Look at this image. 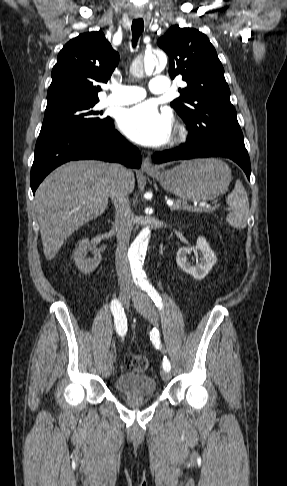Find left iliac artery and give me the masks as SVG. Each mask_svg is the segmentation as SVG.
Returning <instances> with one entry per match:
<instances>
[{"label":"left iliac artery","instance_id":"obj_1","mask_svg":"<svg viewBox=\"0 0 287 486\" xmlns=\"http://www.w3.org/2000/svg\"><path fill=\"white\" fill-rule=\"evenodd\" d=\"M144 290L148 293V295L154 301L156 307L159 308V310H161L163 308L162 299H161L159 293L155 290V288L148 285L144 288ZM150 339L152 340V343L154 344V346L157 349H159L160 348L159 331L156 328L152 330L151 335H150ZM162 366H163V369L165 371H170L171 364H170L169 360L167 359V357H164Z\"/></svg>","mask_w":287,"mask_h":486}]
</instances>
